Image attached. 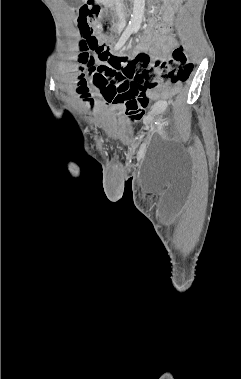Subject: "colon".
Returning <instances> with one entry per match:
<instances>
[{"label":"colon","instance_id":"obj_1","mask_svg":"<svg viewBox=\"0 0 241 379\" xmlns=\"http://www.w3.org/2000/svg\"><path fill=\"white\" fill-rule=\"evenodd\" d=\"M101 15V0H87L78 9L79 27L85 38L83 52L79 56L80 68L82 71L87 68L92 75L91 81L84 72L79 76L77 89L84 97L88 96L91 83L110 100L116 92L136 89L139 83H150L156 87L186 81L192 64L187 61L182 47L174 49L172 57L165 60L152 61L143 50H137L131 57L123 53L113 54L97 24ZM96 61L100 63L98 66H95Z\"/></svg>","mask_w":241,"mask_h":379}]
</instances>
